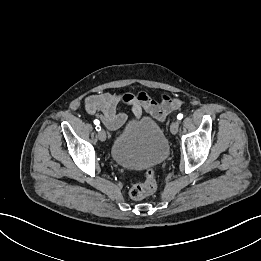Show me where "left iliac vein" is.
<instances>
[{
	"label": "left iliac vein",
	"mask_w": 261,
	"mask_h": 261,
	"mask_svg": "<svg viewBox=\"0 0 261 261\" xmlns=\"http://www.w3.org/2000/svg\"><path fill=\"white\" fill-rule=\"evenodd\" d=\"M179 122L178 121H175L171 124L170 126V131L172 134H176L178 132V129H179Z\"/></svg>",
	"instance_id": "obj_1"
}]
</instances>
